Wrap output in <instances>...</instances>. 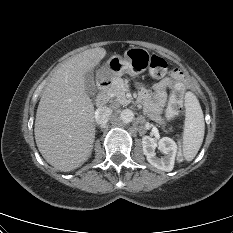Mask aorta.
Here are the masks:
<instances>
[{
	"mask_svg": "<svg viewBox=\"0 0 233 233\" xmlns=\"http://www.w3.org/2000/svg\"><path fill=\"white\" fill-rule=\"evenodd\" d=\"M119 118L123 123H130L134 120V113L130 109H124L121 111Z\"/></svg>",
	"mask_w": 233,
	"mask_h": 233,
	"instance_id": "1",
	"label": "aorta"
}]
</instances>
